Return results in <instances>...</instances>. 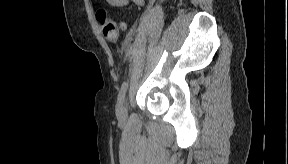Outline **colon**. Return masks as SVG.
<instances>
[{
  "instance_id": "1",
  "label": "colon",
  "mask_w": 288,
  "mask_h": 164,
  "mask_svg": "<svg viewBox=\"0 0 288 164\" xmlns=\"http://www.w3.org/2000/svg\"><path fill=\"white\" fill-rule=\"evenodd\" d=\"M98 22L101 26L104 37L111 42L117 41L126 27L125 21L117 23L115 20L107 18L103 12L99 13Z\"/></svg>"
}]
</instances>
